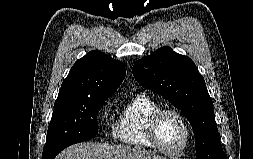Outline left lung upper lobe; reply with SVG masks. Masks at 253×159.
I'll list each match as a JSON object with an SVG mask.
<instances>
[{
	"label": "left lung upper lobe",
	"mask_w": 253,
	"mask_h": 159,
	"mask_svg": "<svg viewBox=\"0 0 253 159\" xmlns=\"http://www.w3.org/2000/svg\"><path fill=\"white\" fill-rule=\"evenodd\" d=\"M137 82L164 96L189 120L196 159H217L223 152L214 108L204 78L187 56L162 47L133 65Z\"/></svg>",
	"instance_id": "left-lung-upper-lobe-1"
}]
</instances>
